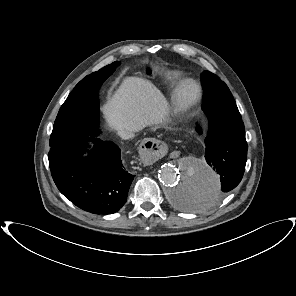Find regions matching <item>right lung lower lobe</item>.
Instances as JSON below:
<instances>
[{
    "instance_id": "98d812e1",
    "label": "right lung lower lobe",
    "mask_w": 296,
    "mask_h": 296,
    "mask_svg": "<svg viewBox=\"0 0 296 296\" xmlns=\"http://www.w3.org/2000/svg\"><path fill=\"white\" fill-rule=\"evenodd\" d=\"M90 139L95 146L88 160L83 153ZM48 159L57 188L82 210L113 214L125 204L134 175L123 168L120 149L113 142L87 137L51 147Z\"/></svg>"
}]
</instances>
